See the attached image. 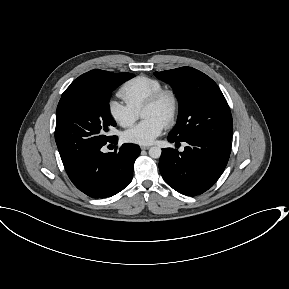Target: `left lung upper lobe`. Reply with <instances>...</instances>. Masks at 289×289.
Returning <instances> with one entry per match:
<instances>
[{
	"label": "left lung upper lobe",
	"instance_id": "left-lung-upper-lobe-1",
	"mask_svg": "<svg viewBox=\"0 0 289 289\" xmlns=\"http://www.w3.org/2000/svg\"><path fill=\"white\" fill-rule=\"evenodd\" d=\"M155 75L173 86L179 101L177 123L169 136L180 141L191 137L231 140V111L210 77L191 67L155 72Z\"/></svg>",
	"mask_w": 289,
	"mask_h": 289
}]
</instances>
